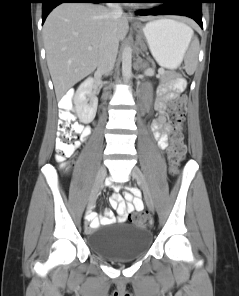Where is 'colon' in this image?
Masks as SVG:
<instances>
[{
  "label": "colon",
  "instance_id": "obj_1",
  "mask_svg": "<svg viewBox=\"0 0 239 296\" xmlns=\"http://www.w3.org/2000/svg\"><path fill=\"white\" fill-rule=\"evenodd\" d=\"M186 114V99L180 95L170 103L167 108V115L173 125V133L171 136L170 147L168 150L169 161L172 172H176L182 162L186 148L182 133V125ZM81 131V126L74 121L71 107L63 105L59 112L58 138L56 141V149L58 151V160L64 161L70 156L76 146L77 138ZM131 220L141 226L149 223L150 217L147 211H140L131 217Z\"/></svg>",
  "mask_w": 239,
  "mask_h": 296
}]
</instances>
